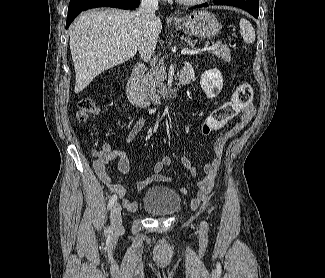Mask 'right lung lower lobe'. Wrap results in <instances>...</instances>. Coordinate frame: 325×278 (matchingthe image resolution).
Listing matches in <instances>:
<instances>
[{"instance_id": "right-lung-lower-lobe-1", "label": "right lung lower lobe", "mask_w": 325, "mask_h": 278, "mask_svg": "<svg viewBox=\"0 0 325 278\" xmlns=\"http://www.w3.org/2000/svg\"><path fill=\"white\" fill-rule=\"evenodd\" d=\"M140 0H70L66 29L71 22L84 10L96 7H116L129 9L138 7Z\"/></svg>"}]
</instances>
